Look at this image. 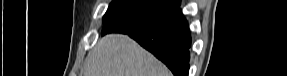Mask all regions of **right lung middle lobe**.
Here are the masks:
<instances>
[{
  "instance_id": "right-lung-middle-lobe-1",
  "label": "right lung middle lobe",
  "mask_w": 287,
  "mask_h": 76,
  "mask_svg": "<svg viewBox=\"0 0 287 76\" xmlns=\"http://www.w3.org/2000/svg\"><path fill=\"white\" fill-rule=\"evenodd\" d=\"M176 6L175 0H113L103 17L101 34L142 31Z\"/></svg>"
}]
</instances>
